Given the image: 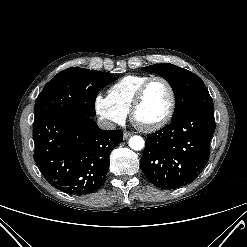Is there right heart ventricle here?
<instances>
[{
    "label": "right heart ventricle",
    "instance_id": "right-heart-ventricle-1",
    "mask_svg": "<svg viewBox=\"0 0 247 247\" xmlns=\"http://www.w3.org/2000/svg\"><path fill=\"white\" fill-rule=\"evenodd\" d=\"M149 77L144 74L124 76L108 89V97L116 106L128 113L137 90Z\"/></svg>",
    "mask_w": 247,
    "mask_h": 247
}]
</instances>
